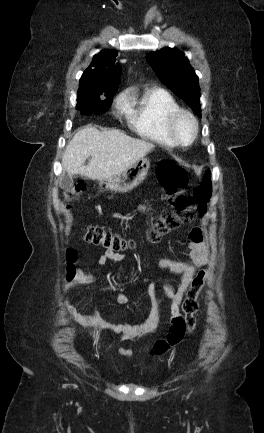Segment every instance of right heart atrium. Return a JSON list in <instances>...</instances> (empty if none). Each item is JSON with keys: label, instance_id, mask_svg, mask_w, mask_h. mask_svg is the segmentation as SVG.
<instances>
[{"label": "right heart atrium", "instance_id": "d8ad5b80", "mask_svg": "<svg viewBox=\"0 0 264 433\" xmlns=\"http://www.w3.org/2000/svg\"><path fill=\"white\" fill-rule=\"evenodd\" d=\"M128 97L125 93H121L115 100V110L117 113H124L127 110Z\"/></svg>", "mask_w": 264, "mask_h": 433}]
</instances>
